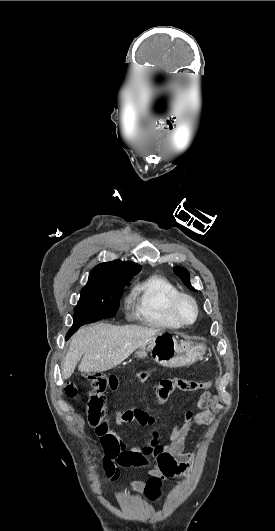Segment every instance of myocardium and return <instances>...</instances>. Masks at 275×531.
Returning a JSON list of instances; mask_svg holds the SVG:
<instances>
[{
	"label": "myocardium",
	"instance_id": "1",
	"mask_svg": "<svg viewBox=\"0 0 275 531\" xmlns=\"http://www.w3.org/2000/svg\"><path fill=\"white\" fill-rule=\"evenodd\" d=\"M181 299H188L189 301L192 302V304L194 305V308H195V315L193 317V319L191 320H184L182 319L178 312H177V305H178V302L181 300ZM168 307H169V312L172 316V318L177 321L180 325H190V324H193L197 321L198 317H199V313H200V310H199V304L197 302V300L190 294L188 293H185V292H180V291H177L174 295H172L169 299V302H168Z\"/></svg>",
	"mask_w": 275,
	"mask_h": 531
}]
</instances>
